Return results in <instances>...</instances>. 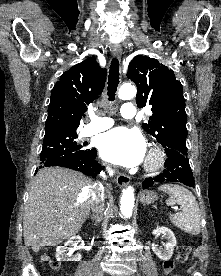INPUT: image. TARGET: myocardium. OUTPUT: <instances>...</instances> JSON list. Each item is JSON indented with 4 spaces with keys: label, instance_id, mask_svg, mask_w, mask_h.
<instances>
[{
    "label": "myocardium",
    "instance_id": "1",
    "mask_svg": "<svg viewBox=\"0 0 221 276\" xmlns=\"http://www.w3.org/2000/svg\"><path fill=\"white\" fill-rule=\"evenodd\" d=\"M165 162V153L163 150L157 146H153L150 148L144 168L149 172H154L159 170Z\"/></svg>",
    "mask_w": 221,
    "mask_h": 276
}]
</instances>
